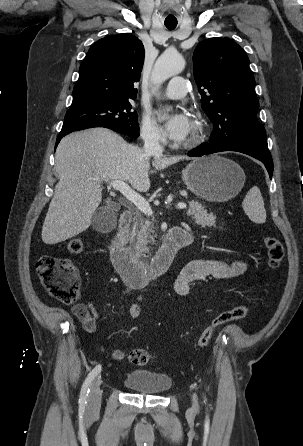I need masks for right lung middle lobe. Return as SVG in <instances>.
Instances as JSON below:
<instances>
[{"label": "right lung middle lobe", "mask_w": 303, "mask_h": 446, "mask_svg": "<svg viewBox=\"0 0 303 446\" xmlns=\"http://www.w3.org/2000/svg\"><path fill=\"white\" fill-rule=\"evenodd\" d=\"M129 100L104 102L85 107L69 109L64 118L61 132L91 123L109 125L131 138L139 136L136 112L131 111Z\"/></svg>", "instance_id": "1"}]
</instances>
